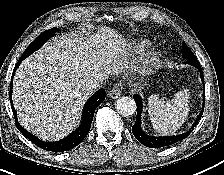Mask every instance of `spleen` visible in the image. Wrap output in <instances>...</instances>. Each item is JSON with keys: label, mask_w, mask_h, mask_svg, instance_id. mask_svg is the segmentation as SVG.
<instances>
[{"label": "spleen", "mask_w": 224, "mask_h": 175, "mask_svg": "<svg viewBox=\"0 0 224 175\" xmlns=\"http://www.w3.org/2000/svg\"><path fill=\"white\" fill-rule=\"evenodd\" d=\"M189 92L187 89L178 92L174 99L166 101L159 95H151L148 101V112L154 130L160 134H173L186 121Z\"/></svg>", "instance_id": "spleen-1"}]
</instances>
